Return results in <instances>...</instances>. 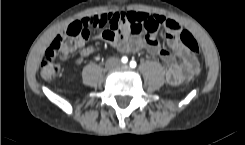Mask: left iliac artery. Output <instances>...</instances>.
I'll list each match as a JSON object with an SVG mask.
<instances>
[{"label":"left iliac artery","mask_w":245,"mask_h":145,"mask_svg":"<svg viewBox=\"0 0 245 145\" xmlns=\"http://www.w3.org/2000/svg\"><path fill=\"white\" fill-rule=\"evenodd\" d=\"M130 67L131 68H135L136 67V62L135 61H131L130 62Z\"/></svg>","instance_id":"44dca946"}]
</instances>
